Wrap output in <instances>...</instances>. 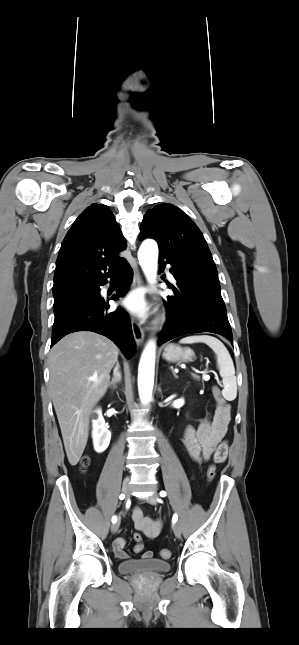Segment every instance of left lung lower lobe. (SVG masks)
<instances>
[{
	"instance_id": "0a47b994",
	"label": "left lung lower lobe",
	"mask_w": 299,
	"mask_h": 645,
	"mask_svg": "<svg viewBox=\"0 0 299 645\" xmlns=\"http://www.w3.org/2000/svg\"><path fill=\"white\" fill-rule=\"evenodd\" d=\"M159 263L162 271L170 264V272L177 281L175 286L169 285L175 296H168L165 301L167 322L159 345L181 335L199 332L216 333L232 343L217 268L175 254L159 256Z\"/></svg>"
}]
</instances>
